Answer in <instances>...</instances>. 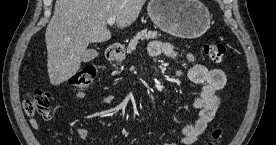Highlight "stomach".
<instances>
[{
  "label": "stomach",
  "mask_w": 276,
  "mask_h": 145,
  "mask_svg": "<svg viewBox=\"0 0 276 145\" xmlns=\"http://www.w3.org/2000/svg\"><path fill=\"white\" fill-rule=\"evenodd\" d=\"M147 12L162 31L173 36L193 39L210 26V13L199 0H151Z\"/></svg>",
  "instance_id": "0dacf381"
}]
</instances>
